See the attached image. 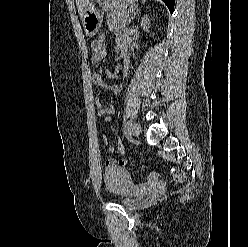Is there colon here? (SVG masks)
<instances>
[{"label":"colon","mask_w":248,"mask_h":247,"mask_svg":"<svg viewBox=\"0 0 248 247\" xmlns=\"http://www.w3.org/2000/svg\"><path fill=\"white\" fill-rule=\"evenodd\" d=\"M117 150L121 156V159L126 160L127 159L126 152H125V149L123 147V144H122L120 138H118V140H117ZM172 176H173L174 180L177 182H183L185 179L184 172L181 171L180 169H176V168L172 169ZM156 177H157V173L151 172L147 178L148 179H155Z\"/></svg>","instance_id":"1"}]
</instances>
